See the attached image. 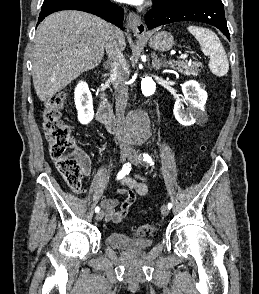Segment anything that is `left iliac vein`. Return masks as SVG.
Listing matches in <instances>:
<instances>
[{"instance_id":"4c4485c4","label":"left iliac vein","mask_w":259,"mask_h":294,"mask_svg":"<svg viewBox=\"0 0 259 294\" xmlns=\"http://www.w3.org/2000/svg\"><path fill=\"white\" fill-rule=\"evenodd\" d=\"M129 159L134 163V164H138V160H139V155L137 153V151L132 150L131 154L129 156ZM161 213L164 216H167L169 214V208L166 205H162L161 206Z\"/></svg>"}]
</instances>
